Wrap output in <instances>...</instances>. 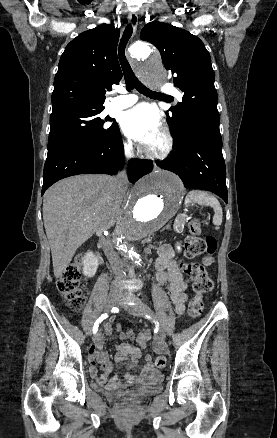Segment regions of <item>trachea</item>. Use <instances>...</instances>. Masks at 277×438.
<instances>
[{"instance_id":"obj_1","label":"trachea","mask_w":277,"mask_h":438,"mask_svg":"<svg viewBox=\"0 0 277 438\" xmlns=\"http://www.w3.org/2000/svg\"><path fill=\"white\" fill-rule=\"evenodd\" d=\"M132 31H133L132 26L130 24L127 25V27L124 30L123 36L120 40L119 49H118L119 60L123 70L126 88L129 92L135 88L138 92L146 96L164 95V94H160V92H152V90H149V88L145 87V85H143V83H141L138 80V78L135 76L130 64L128 63V60L125 56V48L132 35Z\"/></svg>"}]
</instances>
